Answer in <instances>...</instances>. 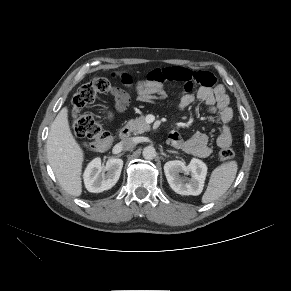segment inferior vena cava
<instances>
[{"label":"inferior vena cava","mask_w":291,"mask_h":291,"mask_svg":"<svg viewBox=\"0 0 291 291\" xmlns=\"http://www.w3.org/2000/svg\"><path fill=\"white\" fill-rule=\"evenodd\" d=\"M120 146L123 150H131L136 146V142L133 138H126L120 142Z\"/></svg>","instance_id":"obj_1"}]
</instances>
